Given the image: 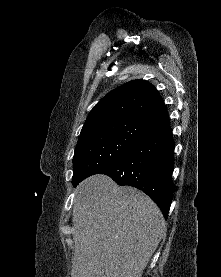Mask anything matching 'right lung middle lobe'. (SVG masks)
<instances>
[{"mask_svg":"<svg viewBox=\"0 0 221 277\" xmlns=\"http://www.w3.org/2000/svg\"><path fill=\"white\" fill-rule=\"evenodd\" d=\"M142 133L137 122L101 125L82 131L73 157V185L122 159Z\"/></svg>","mask_w":221,"mask_h":277,"instance_id":"dd1d6c3e","label":"right lung middle lobe"}]
</instances>
